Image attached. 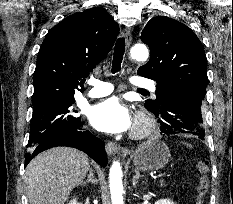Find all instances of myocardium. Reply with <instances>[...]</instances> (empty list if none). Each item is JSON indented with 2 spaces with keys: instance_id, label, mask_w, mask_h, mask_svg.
<instances>
[{
  "instance_id": "myocardium-1",
  "label": "myocardium",
  "mask_w": 233,
  "mask_h": 204,
  "mask_svg": "<svg viewBox=\"0 0 233 204\" xmlns=\"http://www.w3.org/2000/svg\"><path fill=\"white\" fill-rule=\"evenodd\" d=\"M155 127V121L146 111H140L136 115L135 124L131 131L134 139H141L148 136Z\"/></svg>"
}]
</instances>
